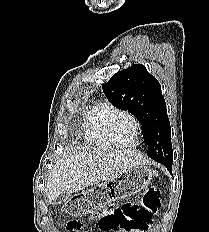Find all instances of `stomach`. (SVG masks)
Returning <instances> with one entry per match:
<instances>
[{
	"mask_svg": "<svg viewBox=\"0 0 209 232\" xmlns=\"http://www.w3.org/2000/svg\"><path fill=\"white\" fill-rule=\"evenodd\" d=\"M119 175L112 176L111 182H102V186H93L84 194H73V198L65 201L64 213L71 214L72 218H85L86 214L105 209L109 203L127 199V195L136 194L149 185L154 171L146 165H139L120 171Z\"/></svg>",
	"mask_w": 209,
	"mask_h": 232,
	"instance_id": "1",
	"label": "stomach"
}]
</instances>
